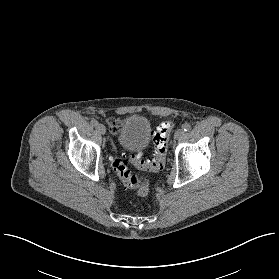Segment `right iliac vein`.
Returning a JSON list of instances; mask_svg holds the SVG:
<instances>
[{"label":"right iliac vein","instance_id":"obj_1","mask_svg":"<svg viewBox=\"0 0 279 279\" xmlns=\"http://www.w3.org/2000/svg\"><path fill=\"white\" fill-rule=\"evenodd\" d=\"M96 128H97V130L99 131V133L105 134L106 129H105V127H104L102 124H98V125L96 126Z\"/></svg>","mask_w":279,"mask_h":279}]
</instances>
